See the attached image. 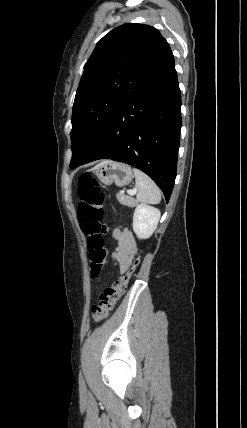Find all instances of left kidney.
Returning a JSON list of instances; mask_svg holds the SVG:
<instances>
[{
  "mask_svg": "<svg viewBox=\"0 0 247 428\" xmlns=\"http://www.w3.org/2000/svg\"><path fill=\"white\" fill-rule=\"evenodd\" d=\"M160 211L155 207L139 204L133 215V231L139 239L149 238L157 228Z\"/></svg>",
  "mask_w": 247,
  "mask_h": 428,
  "instance_id": "1",
  "label": "left kidney"
}]
</instances>
